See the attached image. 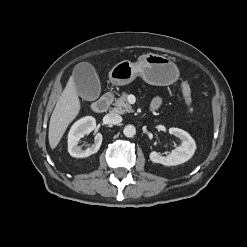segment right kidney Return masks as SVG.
I'll use <instances>...</instances> for the list:
<instances>
[{
	"label": "right kidney",
	"instance_id": "ca27d5eb",
	"mask_svg": "<svg viewBox=\"0 0 247 247\" xmlns=\"http://www.w3.org/2000/svg\"><path fill=\"white\" fill-rule=\"evenodd\" d=\"M96 128V120L92 116H86L75 122L68 134V152L72 157L84 158L96 153L102 143V134L97 133L94 138V144L91 147L82 150L78 146L79 140L84 135L89 134Z\"/></svg>",
	"mask_w": 247,
	"mask_h": 247
}]
</instances>
